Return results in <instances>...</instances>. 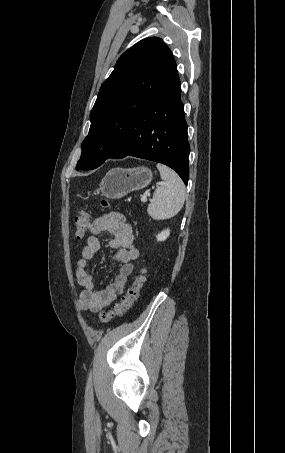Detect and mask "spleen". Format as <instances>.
<instances>
[{"label":"spleen","mask_w":285,"mask_h":453,"mask_svg":"<svg viewBox=\"0 0 285 453\" xmlns=\"http://www.w3.org/2000/svg\"><path fill=\"white\" fill-rule=\"evenodd\" d=\"M165 184L158 187L147 208L149 216L155 220L169 219L182 209L185 202V187L181 178L172 169L157 164Z\"/></svg>","instance_id":"spleen-1"}]
</instances>
